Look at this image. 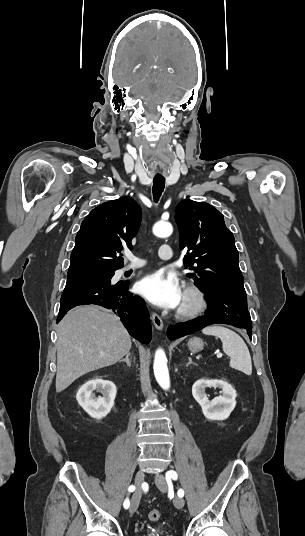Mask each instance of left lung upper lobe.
<instances>
[{
  "label": "left lung upper lobe",
  "instance_id": "obj_1",
  "mask_svg": "<svg viewBox=\"0 0 305 536\" xmlns=\"http://www.w3.org/2000/svg\"><path fill=\"white\" fill-rule=\"evenodd\" d=\"M175 212L180 249L188 248L184 265L193 270L187 276L205 292L245 291L234 236L223 215L208 203L191 200L181 201Z\"/></svg>",
  "mask_w": 305,
  "mask_h": 536
}]
</instances>
